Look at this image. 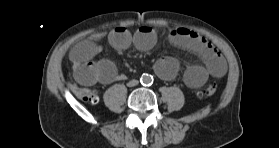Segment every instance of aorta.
Masks as SVG:
<instances>
[{
	"label": "aorta",
	"mask_w": 279,
	"mask_h": 148,
	"mask_svg": "<svg viewBox=\"0 0 279 148\" xmlns=\"http://www.w3.org/2000/svg\"><path fill=\"white\" fill-rule=\"evenodd\" d=\"M153 81L152 76L145 74L141 77V83L145 85H150Z\"/></svg>",
	"instance_id": "obj_1"
}]
</instances>
